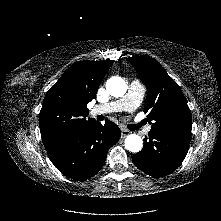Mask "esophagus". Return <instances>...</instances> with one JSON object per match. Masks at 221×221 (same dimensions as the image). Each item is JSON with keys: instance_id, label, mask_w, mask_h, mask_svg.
Wrapping results in <instances>:
<instances>
[{"instance_id": "esophagus-1", "label": "esophagus", "mask_w": 221, "mask_h": 221, "mask_svg": "<svg viewBox=\"0 0 221 221\" xmlns=\"http://www.w3.org/2000/svg\"><path fill=\"white\" fill-rule=\"evenodd\" d=\"M129 134H130V131H129V130L124 129V128L121 129V135H122V137H126V136L129 135Z\"/></svg>"}]
</instances>
